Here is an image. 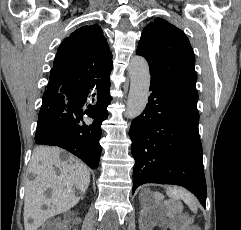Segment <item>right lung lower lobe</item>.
<instances>
[{
  "label": "right lung lower lobe",
  "mask_w": 241,
  "mask_h": 230,
  "mask_svg": "<svg viewBox=\"0 0 241 230\" xmlns=\"http://www.w3.org/2000/svg\"><path fill=\"white\" fill-rule=\"evenodd\" d=\"M108 80H66L48 87L38 116L37 144L59 146L96 169L101 155V123L112 98ZM87 105V109L85 106ZM89 118L83 121V116Z\"/></svg>",
  "instance_id": "obj_1"
}]
</instances>
